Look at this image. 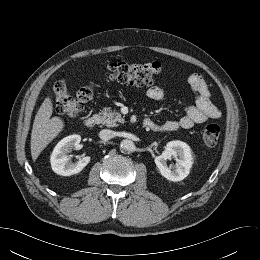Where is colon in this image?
Listing matches in <instances>:
<instances>
[{"label":"colon","instance_id":"1","mask_svg":"<svg viewBox=\"0 0 260 260\" xmlns=\"http://www.w3.org/2000/svg\"><path fill=\"white\" fill-rule=\"evenodd\" d=\"M108 77L119 82L144 86L150 84L160 73L161 65L152 63H113L108 65ZM92 97V88L84 86L72 95L64 80H59L53 87V101L55 109L60 114L77 116L83 110L84 105ZM221 129L217 124H209L203 132V140L208 146L218 143Z\"/></svg>","mask_w":260,"mask_h":260}]
</instances>
